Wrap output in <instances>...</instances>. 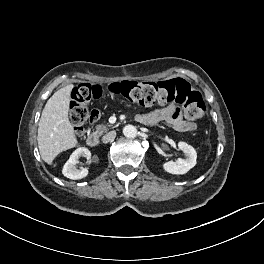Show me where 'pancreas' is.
Instances as JSON below:
<instances>
[{
	"label": "pancreas",
	"instance_id": "cf45deb5",
	"mask_svg": "<svg viewBox=\"0 0 264 264\" xmlns=\"http://www.w3.org/2000/svg\"><path fill=\"white\" fill-rule=\"evenodd\" d=\"M107 127H111V125L110 124L98 125L97 126V130H96V133H98V134L101 135L107 129Z\"/></svg>",
	"mask_w": 264,
	"mask_h": 264
}]
</instances>
